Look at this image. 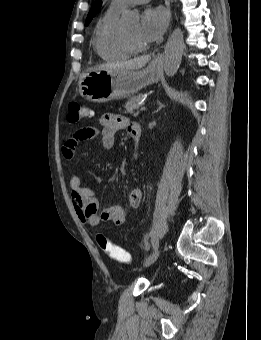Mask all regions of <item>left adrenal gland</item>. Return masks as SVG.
<instances>
[{
    "label": "left adrenal gland",
    "instance_id": "1",
    "mask_svg": "<svg viewBox=\"0 0 261 340\" xmlns=\"http://www.w3.org/2000/svg\"><path fill=\"white\" fill-rule=\"evenodd\" d=\"M158 104V108L157 111L161 110L163 107H165V105L163 103H161L160 101L157 102Z\"/></svg>",
    "mask_w": 261,
    "mask_h": 340
}]
</instances>
